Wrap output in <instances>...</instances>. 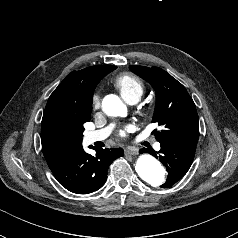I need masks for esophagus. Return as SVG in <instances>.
I'll return each mask as SVG.
<instances>
[{"instance_id": "obj_1", "label": "esophagus", "mask_w": 238, "mask_h": 238, "mask_svg": "<svg viewBox=\"0 0 238 238\" xmlns=\"http://www.w3.org/2000/svg\"><path fill=\"white\" fill-rule=\"evenodd\" d=\"M125 154L126 155H137L138 154V149L135 147H127L125 149Z\"/></svg>"}]
</instances>
